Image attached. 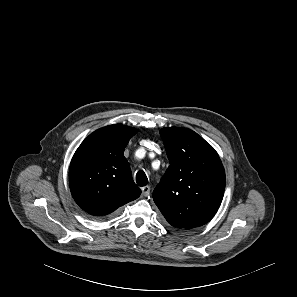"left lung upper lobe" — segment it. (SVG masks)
<instances>
[{
    "label": "left lung upper lobe",
    "mask_w": 297,
    "mask_h": 297,
    "mask_svg": "<svg viewBox=\"0 0 297 297\" xmlns=\"http://www.w3.org/2000/svg\"><path fill=\"white\" fill-rule=\"evenodd\" d=\"M170 162L153 191V199L167 222L191 229L209 222L224 195L225 171L215 149L188 128L160 130Z\"/></svg>",
    "instance_id": "left-lung-upper-lobe-1"
}]
</instances>
